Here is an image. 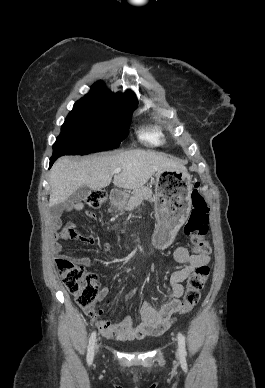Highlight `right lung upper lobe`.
I'll use <instances>...</instances> for the list:
<instances>
[{
	"label": "right lung upper lobe",
	"instance_id": "obj_1",
	"mask_svg": "<svg viewBox=\"0 0 265 388\" xmlns=\"http://www.w3.org/2000/svg\"><path fill=\"white\" fill-rule=\"evenodd\" d=\"M86 97L117 99L118 94L108 91L107 88L104 87V84L101 81H98L93 85L91 92L88 93ZM121 100L125 103L137 104V98L131 90H127V92L123 94Z\"/></svg>",
	"mask_w": 265,
	"mask_h": 388
}]
</instances>
